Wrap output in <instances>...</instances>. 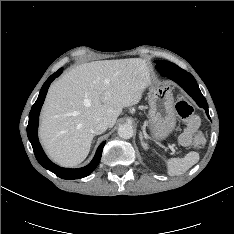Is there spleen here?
<instances>
[{"instance_id":"3e777b00","label":"spleen","mask_w":234,"mask_h":234,"mask_svg":"<svg viewBox=\"0 0 234 234\" xmlns=\"http://www.w3.org/2000/svg\"><path fill=\"white\" fill-rule=\"evenodd\" d=\"M199 161V153L189 152L183 158H171L168 159L167 173L169 176L181 175L185 173L189 168L195 165Z\"/></svg>"}]
</instances>
